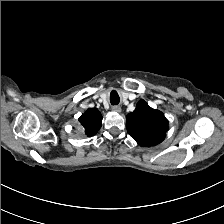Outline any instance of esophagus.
<instances>
[{
  "label": "esophagus",
  "mask_w": 224,
  "mask_h": 224,
  "mask_svg": "<svg viewBox=\"0 0 224 224\" xmlns=\"http://www.w3.org/2000/svg\"><path fill=\"white\" fill-rule=\"evenodd\" d=\"M111 110L119 113V112H121V107L120 106H113Z\"/></svg>",
  "instance_id": "obj_1"
}]
</instances>
